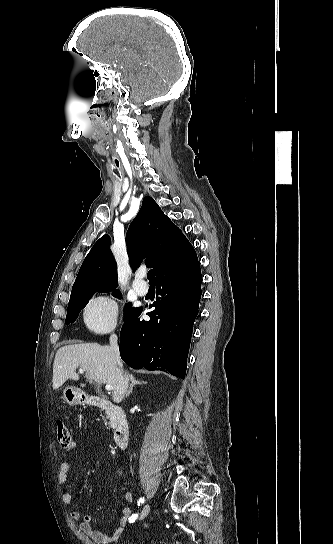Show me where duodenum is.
Instances as JSON below:
<instances>
[{
  "instance_id": "410a0bca",
  "label": "duodenum",
  "mask_w": 333,
  "mask_h": 544,
  "mask_svg": "<svg viewBox=\"0 0 333 544\" xmlns=\"http://www.w3.org/2000/svg\"><path fill=\"white\" fill-rule=\"evenodd\" d=\"M83 402L89 406L106 410L114 422V442L118 449L122 450L127 446L129 439V425L124 411L106 399L86 396Z\"/></svg>"
}]
</instances>
